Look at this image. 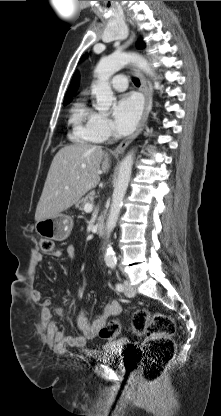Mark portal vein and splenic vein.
<instances>
[{"mask_svg":"<svg viewBox=\"0 0 221 416\" xmlns=\"http://www.w3.org/2000/svg\"><path fill=\"white\" fill-rule=\"evenodd\" d=\"M93 207H94L93 203H87L84 205V211L87 213L91 212L93 210Z\"/></svg>","mask_w":221,"mask_h":416,"instance_id":"obj_1","label":"portal vein and splenic vein"}]
</instances>
